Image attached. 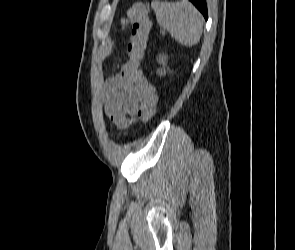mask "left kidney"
Listing matches in <instances>:
<instances>
[{"label":"left kidney","instance_id":"1","mask_svg":"<svg viewBox=\"0 0 295 250\" xmlns=\"http://www.w3.org/2000/svg\"><path fill=\"white\" fill-rule=\"evenodd\" d=\"M158 62H159L160 64H162L163 67H165V66H166V56H160V57L158 58Z\"/></svg>","mask_w":295,"mask_h":250}]
</instances>
